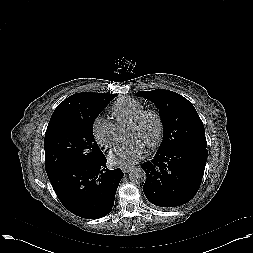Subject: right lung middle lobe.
<instances>
[{"mask_svg": "<svg viewBox=\"0 0 253 253\" xmlns=\"http://www.w3.org/2000/svg\"><path fill=\"white\" fill-rule=\"evenodd\" d=\"M116 96L108 94L81 110L52 114L44 139L47 174L80 163H92L104 156L94 139L93 123Z\"/></svg>", "mask_w": 253, "mask_h": 253, "instance_id": "dd1d6c3e", "label": "right lung middle lobe"}]
</instances>
